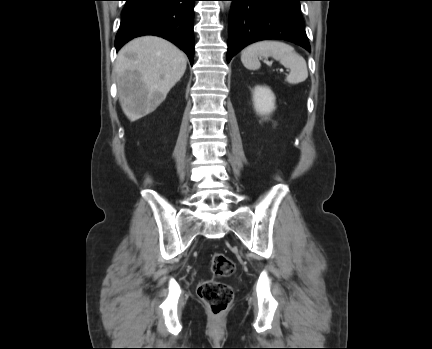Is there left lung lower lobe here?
Masks as SVG:
<instances>
[{
	"instance_id": "obj_1",
	"label": "left lung lower lobe",
	"mask_w": 432,
	"mask_h": 349,
	"mask_svg": "<svg viewBox=\"0 0 432 349\" xmlns=\"http://www.w3.org/2000/svg\"><path fill=\"white\" fill-rule=\"evenodd\" d=\"M227 61L245 46L260 40L281 39L310 51L300 13L302 0H230Z\"/></svg>"
}]
</instances>
